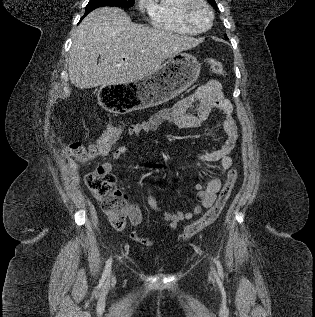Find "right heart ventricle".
Instances as JSON below:
<instances>
[{
    "mask_svg": "<svg viewBox=\"0 0 315 317\" xmlns=\"http://www.w3.org/2000/svg\"><path fill=\"white\" fill-rule=\"evenodd\" d=\"M187 0H147L146 11L150 24L160 30L195 35L182 19V8Z\"/></svg>",
    "mask_w": 315,
    "mask_h": 317,
    "instance_id": "obj_1",
    "label": "right heart ventricle"
}]
</instances>
